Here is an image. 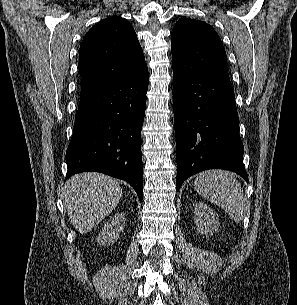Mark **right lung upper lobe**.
<instances>
[{
  "label": "right lung upper lobe",
  "mask_w": 297,
  "mask_h": 305,
  "mask_svg": "<svg viewBox=\"0 0 297 305\" xmlns=\"http://www.w3.org/2000/svg\"><path fill=\"white\" fill-rule=\"evenodd\" d=\"M145 66L143 50L128 20L106 18L86 33L80 45V96L129 77Z\"/></svg>",
  "instance_id": "obj_1"
}]
</instances>
